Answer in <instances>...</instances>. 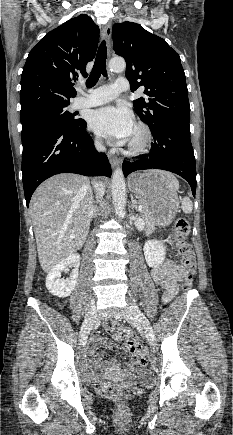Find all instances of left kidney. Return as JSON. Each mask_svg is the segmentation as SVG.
<instances>
[{"label": "left kidney", "instance_id": "left-kidney-1", "mask_svg": "<svg viewBox=\"0 0 233 435\" xmlns=\"http://www.w3.org/2000/svg\"><path fill=\"white\" fill-rule=\"evenodd\" d=\"M143 251L146 262L150 267L160 266L165 259L166 247L160 241L149 240L145 242Z\"/></svg>", "mask_w": 233, "mask_h": 435}]
</instances>
